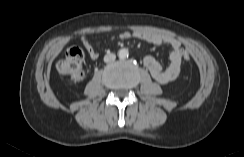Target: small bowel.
Segmentation results:
<instances>
[{
  "label": "small bowel",
  "instance_id": "small-bowel-1",
  "mask_svg": "<svg viewBox=\"0 0 244 157\" xmlns=\"http://www.w3.org/2000/svg\"><path fill=\"white\" fill-rule=\"evenodd\" d=\"M120 39H128L130 37L137 38L158 46H168L171 48L169 54L170 63L167 67H163L159 61L153 56H146L144 58V65L149 70L151 76L160 84H168L177 79L181 70V61L184 49L179 41L176 39L162 35L155 32H122L118 36ZM82 43L86 48L91 59H97L99 51L93 46L91 41L84 37Z\"/></svg>",
  "mask_w": 244,
  "mask_h": 157
}]
</instances>
